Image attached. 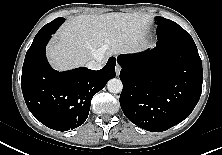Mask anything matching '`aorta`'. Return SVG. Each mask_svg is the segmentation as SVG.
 Segmentation results:
<instances>
[{
	"mask_svg": "<svg viewBox=\"0 0 222 155\" xmlns=\"http://www.w3.org/2000/svg\"><path fill=\"white\" fill-rule=\"evenodd\" d=\"M107 88L111 93H120L123 89V84L120 79L113 78L108 81Z\"/></svg>",
	"mask_w": 222,
	"mask_h": 155,
	"instance_id": "aorta-1",
	"label": "aorta"
}]
</instances>
